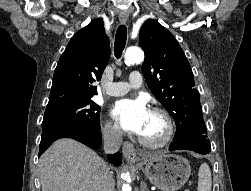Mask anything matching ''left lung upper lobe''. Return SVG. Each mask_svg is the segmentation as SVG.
<instances>
[{"mask_svg": "<svg viewBox=\"0 0 251 191\" xmlns=\"http://www.w3.org/2000/svg\"><path fill=\"white\" fill-rule=\"evenodd\" d=\"M139 44L145 52L142 71L148 87L176 122L174 140L191 134L207 136L200 94L178 41L158 21L148 19L140 29Z\"/></svg>", "mask_w": 251, "mask_h": 191, "instance_id": "5c2ea615", "label": "left lung upper lobe"}]
</instances>
